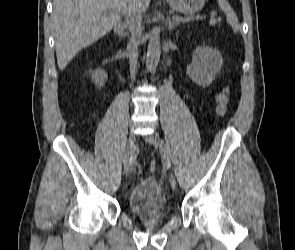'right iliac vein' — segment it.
Segmentation results:
<instances>
[{
  "label": "right iliac vein",
  "mask_w": 295,
  "mask_h": 250,
  "mask_svg": "<svg viewBox=\"0 0 295 250\" xmlns=\"http://www.w3.org/2000/svg\"><path fill=\"white\" fill-rule=\"evenodd\" d=\"M135 156V135L130 134L127 139L126 153L124 158V172L130 174L132 171L133 164H131L130 158Z\"/></svg>",
  "instance_id": "1"
}]
</instances>
